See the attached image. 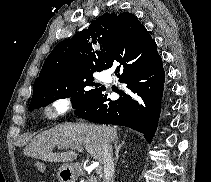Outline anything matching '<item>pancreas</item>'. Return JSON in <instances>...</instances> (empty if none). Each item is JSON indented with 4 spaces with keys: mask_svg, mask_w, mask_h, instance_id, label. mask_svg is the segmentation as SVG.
<instances>
[{
    "mask_svg": "<svg viewBox=\"0 0 211 182\" xmlns=\"http://www.w3.org/2000/svg\"><path fill=\"white\" fill-rule=\"evenodd\" d=\"M81 182H83V181H81ZM85 182H100V180L98 177H96L95 175L92 174L89 177H87Z\"/></svg>",
    "mask_w": 211,
    "mask_h": 182,
    "instance_id": "obj_1",
    "label": "pancreas"
}]
</instances>
